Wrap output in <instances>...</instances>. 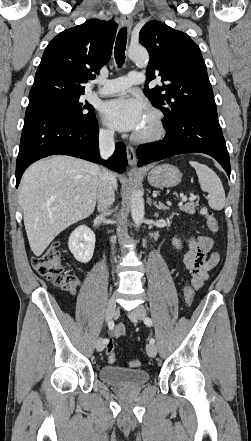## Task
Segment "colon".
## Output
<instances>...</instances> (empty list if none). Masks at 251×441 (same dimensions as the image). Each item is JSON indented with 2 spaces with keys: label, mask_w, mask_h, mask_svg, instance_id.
<instances>
[{
  "label": "colon",
  "mask_w": 251,
  "mask_h": 441,
  "mask_svg": "<svg viewBox=\"0 0 251 441\" xmlns=\"http://www.w3.org/2000/svg\"><path fill=\"white\" fill-rule=\"evenodd\" d=\"M206 221L209 229L212 232L218 231L219 223L212 212H208L206 214ZM59 246V242L52 243L43 251V253L32 259V265L40 276L46 278L50 282L63 289H70L76 285L77 277L65 271L61 261V252ZM184 298L186 304L190 306L194 299L193 285H187L184 288ZM106 352L108 355V362L111 364L115 363L116 356L114 355V343L112 340L108 342ZM129 365L132 368H138L141 366V362L139 360H132L130 361Z\"/></svg>",
  "instance_id": "1"
}]
</instances>
